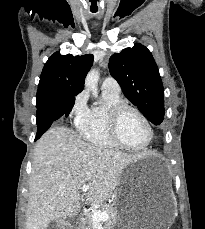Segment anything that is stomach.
<instances>
[{"label": "stomach", "mask_w": 205, "mask_h": 229, "mask_svg": "<svg viewBox=\"0 0 205 229\" xmlns=\"http://www.w3.org/2000/svg\"><path fill=\"white\" fill-rule=\"evenodd\" d=\"M138 167L132 164L121 175L114 229H169L175 219L174 205L137 192Z\"/></svg>", "instance_id": "1"}]
</instances>
